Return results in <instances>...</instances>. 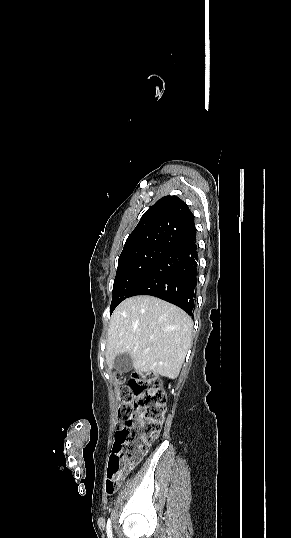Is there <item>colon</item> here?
<instances>
[{"label": "colon", "instance_id": "obj_1", "mask_svg": "<svg viewBox=\"0 0 291 538\" xmlns=\"http://www.w3.org/2000/svg\"><path fill=\"white\" fill-rule=\"evenodd\" d=\"M119 421L107 464L106 491L115 492L125 474L159 435L166 413V396L152 374H133L119 390Z\"/></svg>", "mask_w": 291, "mask_h": 538}]
</instances>
